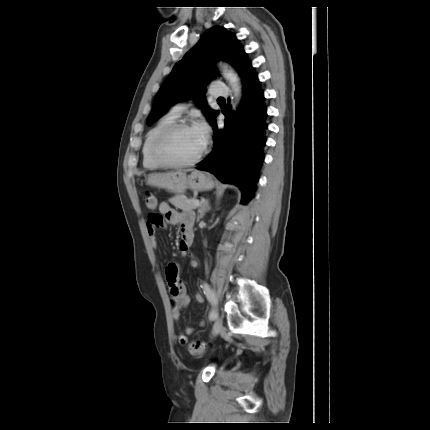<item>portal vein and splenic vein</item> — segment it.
<instances>
[{"mask_svg": "<svg viewBox=\"0 0 430 430\" xmlns=\"http://www.w3.org/2000/svg\"><path fill=\"white\" fill-rule=\"evenodd\" d=\"M193 203H194V205L196 206V207H199L200 205H201V203L199 202V200H197V199H194L193 200Z\"/></svg>", "mask_w": 430, "mask_h": 430, "instance_id": "1", "label": "portal vein and splenic vein"}]
</instances>
